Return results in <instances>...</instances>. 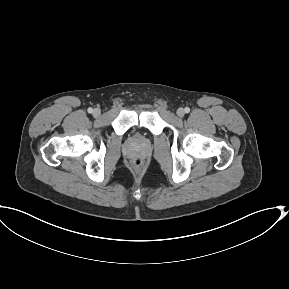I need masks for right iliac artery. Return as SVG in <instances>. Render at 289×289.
I'll return each instance as SVG.
<instances>
[{
    "mask_svg": "<svg viewBox=\"0 0 289 289\" xmlns=\"http://www.w3.org/2000/svg\"><path fill=\"white\" fill-rule=\"evenodd\" d=\"M88 112H89V113H92V112H93V109H92V108H88Z\"/></svg>",
    "mask_w": 289,
    "mask_h": 289,
    "instance_id": "82829eb1",
    "label": "right iliac artery"
}]
</instances>
